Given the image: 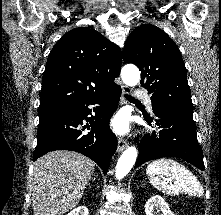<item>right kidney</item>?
<instances>
[{
    "instance_id": "right-kidney-1",
    "label": "right kidney",
    "mask_w": 221,
    "mask_h": 215,
    "mask_svg": "<svg viewBox=\"0 0 221 215\" xmlns=\"http://www.w3.org/2000/svg\"><path fill=\"white\" fill-rule=\"evenodd\" d=\"M67 215H88V209L85 206H79L70 211Z\"/></svg>"
}]
</instances>
